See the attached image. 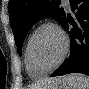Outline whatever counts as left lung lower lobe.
I'll list each match as a JSON object with an SVG mask.
<instances>
[{"label": "left lung lower lobe", "mask_w": 89, "mask_h": 89, "mask_svg": "<svg viewBox=\"0 0 89 89\" xmlns=\"http://www.w3.org/2000/svg\"><path fill=\"white\" fill-rule=\"evenodd\" d=\"M75 18L64 17L63 26L73 28L69 31L71 53L68 59L51 75L61 76L68 73L89 75V0H70Z\"/></svg>", "instance_id": "0a47b994"}]
</instances>
